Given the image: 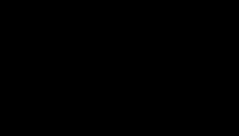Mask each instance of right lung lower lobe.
I'll use <instances>...</instances> for the list:
<instances>
[{"label":"right lung lower lobe","instance_id":"1","mask_svg":"<svg viewBox=\"0 0 239 136\" xmlns=\"http://www.w3.org/2000/svg\"><path fill=\"white\" fill-rule=\"evenodd\" d=\"M107 47L66 38L60 32L48 38L40 60L45 92L63 114L85 119L99 113L114 84L124 75L112 67Z\"/></svg>","mask_w":239,"mask_h":136}]
</instances>
